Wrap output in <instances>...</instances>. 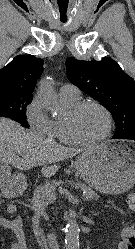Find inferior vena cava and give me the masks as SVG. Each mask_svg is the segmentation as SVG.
I'll return each mask as SVG.
<instances>
[{
  "label": "inferior vena cava",
  "instance_id": "1",
  "mask_svg": "<svg viewBox=\"0 0 135 249\" xmlns=\"http://www.w3.org/2000/svg\"><path fill=\"white\" fill-rule=\"evenodd\" d=\"M54 249H59V245L56 243Z\"/></svg>",
  "mask_w": 135,
  "mask_h": 249
}]
</instances>
